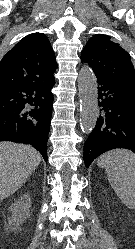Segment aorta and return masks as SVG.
I'll return each mask as SVG.
<instances>
[{
  "mask_svg": "<svg viewBox=\"0 0 135 249\" xmlns=\"http://www.w3.org/2000/svg\"><path fill=\"white\" fill-rule=\"evenodd\" d=\"M80 98V125L89 134L95 127L98 116L97 82L93 71L84 66L78 76Z\"/></svg>",
  "mask_w": 135,
  "mask_h": 249,
  "instance_id": "762f6f07",
  "label": "aorta"
}]
</instances>
